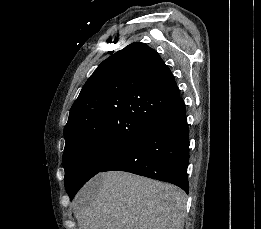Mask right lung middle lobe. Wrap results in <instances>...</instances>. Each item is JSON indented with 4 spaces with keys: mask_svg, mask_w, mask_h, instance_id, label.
I'll list each match as a JSON object with an SVG mask.
<instances>
[{
    "mask_svg": "<svg viewBox=\"0 0 261 229\" xmlns=\"http://www.w3.org/2000/svg\"><path fill=\"white\" fill-rule=\"evenodd\" d=\"M130 143L82 140L65 146L63 163L65 188L72 200L94 175L124 152Z\"/></svg>",
    "mask_w": 261,
    "mask_h": 229,
    "instance_id": "dd1d6c3e",
    "label": "right lung middle lobe"
}]
</instances>
